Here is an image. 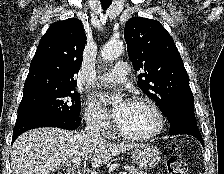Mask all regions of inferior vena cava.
<instances>
[{
    "instance_id": "obj_1",
    "label": "inferior vena cava",
    "mask_w": 224,
    "mask_h": 174,
    "mask_svg": "<svg viewBox=\"0 0 224 174\" xmlns=\"http://www.w3.org/2000/svg\"><path fill=\"white\" fill-rule=\"evenodd\" d=\"M100 122L96 120H89L85 128V134L93 141L103 143L105 140L100 134Z\"/></svg>"
}]
</instances>
